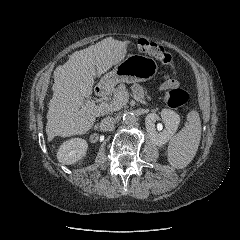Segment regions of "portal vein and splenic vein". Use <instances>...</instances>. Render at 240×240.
I'll use <instances>...</instances> for the list:
<instances>
[{"label":"portal vein and splenic vein","instance_id":"portal-vein-and-splenic-vein-1","mask_svg":"<svg viewBox=\"0 0 240 240\" xmlns=\"http://www.w3.org/2000/svg\"><path fill=\"white\" fill-rule=\"evenodd\" d=\"M122 100H128V98L120 96L116 100H113L110 104H101L99 106H97L94 101H87L85 105L81 106V111L82 112H85V111H88V110L93 111V110H96V109H99L101 111H105L106 109L117 110V107H118L120 101H122Z\"/></svg>","mask_w":240,"mask_h":240}]
</instances>
